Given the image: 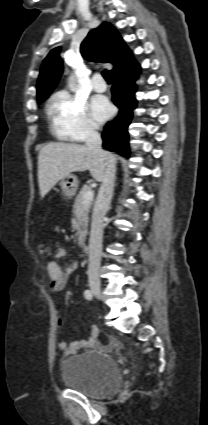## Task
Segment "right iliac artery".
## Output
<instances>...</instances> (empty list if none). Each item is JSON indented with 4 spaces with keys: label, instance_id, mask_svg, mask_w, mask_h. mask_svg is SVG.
Returning a JSON list of instances; mask_svg holds the SVG:
<instances>
[{
    "label": "right iliac artery",
    "instance_id": "82829eb1",
    "mask_svg": "<svg viewBox=\"0 0 208 425\" xmlns=\"http://www.w3.org/2000/svg\"><path fill=\"white\" fill-rule=\"evenodd\" d=\"M84 296L87 300H92V298H93V294L90 290H85Z\"/></svg>",
    "mask_w": 208,
    "mask_h": 425
}]
</instances>
